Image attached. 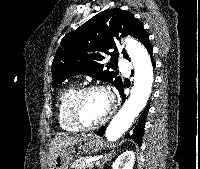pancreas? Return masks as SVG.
Segmentation results:
<instances>
[{"instance_id": "pancreas-1", "label": "pancreas", "mask_w": 200, "mask_h": 169, "mask_svg": "<svg viewBox=\"0 0 200 169\" xmlns=\"http://www.w3.org/2000/svg\"><path fill=\"white\" fill-rule=\"evenodd\" d=\"M94 165H98L95 162H86L85 160L79 159L73 162V169H92Z\"/></svg>"}]
</instances>
